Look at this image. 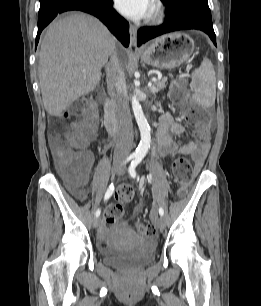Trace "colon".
Returning a JSON list of instances; mask_svg holds the SVG:
<instances>
[{"instance_id":"obj_1","label":"colon","mask_w":261,"mask_h":306,"mask_svg":"<svg viewBox=\"0 0 261 306\" xmlns=\"http://www.w3.org/2000/svg\"><path fill=\"white\" fill-rule=\"evenodd\" d=\"M171 97L175 103L184 106L185 115L189 124L196 129V136L204 141L209 125L208 116L187 100L186 89L174 85ZM72 119L71 130L65 139L64 145L57 151L59 158V171L63 179L71 185H82L86 182L89 167L84 148L88 141L95 136L97 127V112L95 105L88 98H81L73 103L69 112ZM173 176L178 185V194L184 195L194 178V171L190 160L178 157L172 166ZM133 189L128 184L119 187L116 202L110 204L104 212L107 223L119 221L125 215V204L133 197ZM137 232L144 238L150 239L156 235V228L150 223L137 222Z\"/></svg>"}]
</instances>
